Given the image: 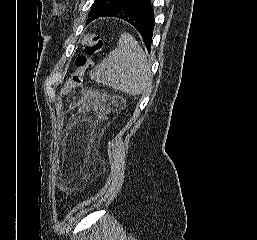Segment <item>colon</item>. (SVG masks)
I'll use <instances>...</instances> for the list:
<instances>
[{"mask_svg":"<svg viewBox=\"0 0 257 240\" xmlns=\"http://www.w3.org/2000/svg\"><path fill=\"white\" fill-rule=\"evenodd\" d=\"M84 52L76 59V70L73 72L61 94H67L83 84L84 75L87 70L94 66L95 56L102 53L104 41L95 34H86L83 38Z\"/></svg>","mask_w":257,"mask_h":240,"instance_id":"1","label":"colon"}]
</instances>
